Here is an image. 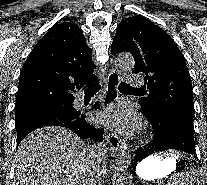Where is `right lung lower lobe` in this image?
I'll use <instances>...</instances> for the list:
<instances>
[{
	"instance_id": "right-lung-lower-lobe-1",
	"label": "right lung lower lobe",
	"mask_w": 207,
	"mask_h": 185,
	"mask_svg": "<svg viewBox=\"0 0 207 185\" xmlns=\"http://www.w3.org/2000/svg\"><path fill=\"white\" fill-rule=\"evenodd\" d=\"M99 107H100L99 102H96L92 106L93 109H97ZM77 112L80 114L79 119L73 121H63L56 118L44 117V118L29 120L19 125H16L17 147L20 144V142L23 140V138L33 130L43 126H52V125L69 128L81 138H91L96 141H102L104 129L94 127L93 125H91L86 121L85 114L83 112L81 111H77Z\"/></svg>"
}]
</instances>
